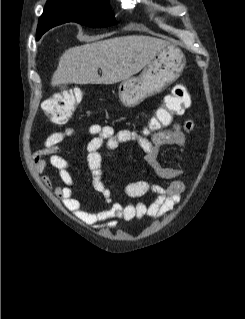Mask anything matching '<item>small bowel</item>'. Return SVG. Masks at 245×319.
<instances>
[{
  "mask_svg": "<svg viewBox=\"0 0 245 319\" xmlns=\"http://www.w3.org/2000/svg\"><path fill=\"white\" fill-rule=\"evenodd\" d=\"M184 89L186 92L185 104L190 105V96L183 85H176L172 92ZM168 97V96H167ZM192 121L184 123L174 122L172 126L163 131L149 134L147 137L139 135L129 129L115 131L111 126L93 124L89 126L88 132L93 138L86 146V160L92 175L94 189L100 193L108 208L100 211L87 209L80 200L73 196L74 180L71 174L70 162L59 155L61 144L69 137L76 134V130L68 127L63 131L51 133L44 142V147L33 156L35 169L42 173L48 165L53 166L59 172L61 184L53 185L47 175L42 176L43 182L54 194L62 200L64 206L76 217L85 223L97 228L112 229L117 226L118 221H130L143 218H159L180 201L185 185L178 178L182 172L180 169L163 166L158 161L161 150L165 147L176 146L181 149L186 147V135L192 129ZM145 128V126H143ZM135 142L145 152V161L154 175L161 180L170 181L167 186L151 183L146 180H136L120 184V190L129 198H141L153 195L150 203L144 201L120 203L112 199V191L108 184L102 180L103 157L101 149L114 150L120 144Z\"/></svg>",
  "mask_w": 245,
  "mask_h": 319,
  "instance_id": "1",
  "label": "small bowel"
}]
</instances>
